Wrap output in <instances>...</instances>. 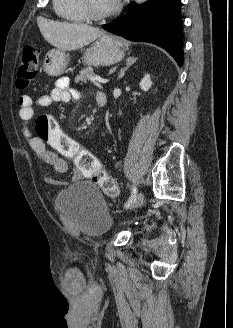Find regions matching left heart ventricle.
Segmentation results:
<instances>
[{
    "mask_svg": "<svg viewBox=\"0 0 233 328\" xmlns=\"http://www.w3.org/2000/svg\"><path fill=\"white\" fill-rule=\"evenodd\" d=\"M91 7L97 12H105L112 9L116 2L113 0H89Z\"/></svg>",
    "mask_w": 233,
    "mask_h": 328,
    "instance_id": "left-heart-ventricle-1",
    "label": "left heart ventricle"
}]
</instances>
